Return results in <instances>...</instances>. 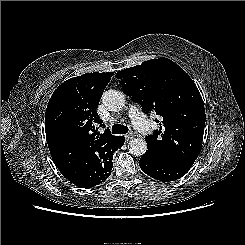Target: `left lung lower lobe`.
<instances>
[{
  "mask_svg": "<svg viewBox=\"0 0 245 245\" xmlns=\"http://www.w3.org/2000/svg\"><path fill=\"white\" fill-rule=\"evenodd\" d=\"M139 165L147 175L163 182L177 180L191 168V166L165 163L145 154L140 158Z\"/></svg>",
  "mask_w": 245,
  "mask_h": 245,
  "instance_id": "obj_1",
  "label": "left lung lower lobe"
}]
</instances>
